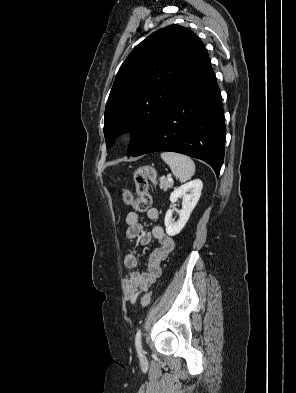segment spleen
<instances>
[{"label":"spleen","instance_id":"spleen-1","mask_svg":"<svg viewBox=\"0 0 296 393\" xmlns=\"http://www.w3.org/2000/svg\"><path fill=\"white\" fill-rule=\"evenodd\" d=\"M162 160L170 167L173 175L180 182H186L195 173V164L191 158L174 152L161 153Z\"/></svg>","mask_w":296,"mask_h":393}]
</instances>
